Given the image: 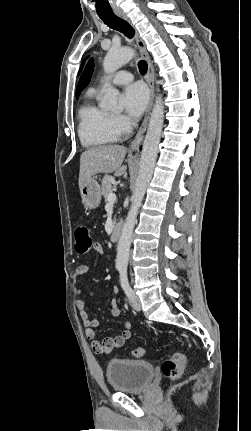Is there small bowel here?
<instances>
[{"label": "small bowel", "instance_id": "small-bowel-1", "mask_svg": "<svg viewBox=\"0 0 251 431\" xmlns=\"http://www.w3.org/2000/svg\"><path fill=\"white\" fill-rule=\"evenodd\" d=\"M96 252L99 254L103 253V247L100 244H96ZM89 272L88 265H80L76 269L77 277V292H76V307L79 311L80 318L85 327V333L88 339L91 340V347L95 353L104 354L109 353L114 349L122 347L127 340L131 338V328L132 324L130 321H125L122 324V332L116 336L106 337L103 340H97L96 328L98 326L97 319L91 317L86 310V303L84 300V280ZM113 292L118 293V288L113 287ZM120 314V308L118 306V301L113 298L110 303V315L112 317H117Z\"/></svg>", "mask_w": 251, "mask_h": 431}]
</instances>
